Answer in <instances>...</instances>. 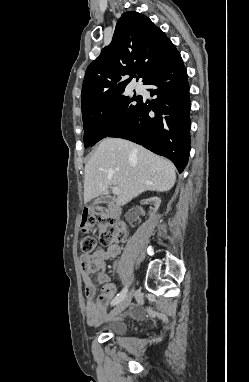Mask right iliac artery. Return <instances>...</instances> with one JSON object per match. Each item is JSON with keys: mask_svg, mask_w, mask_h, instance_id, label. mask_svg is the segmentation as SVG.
Masks as SVG:
<instances>
[{"mask_svg": "<svg viewBox=\"0 0 249 382\" xmlns=\"http://www.w3.org/2000/svg\"><path fill=\"white\" fill-rule=\"evenodd\" d=\"M126 293H127V287L123 288V290L119 294H117V296L113 299L111 304L112 305L118 304L126 296Z\"/></svg>", "mask_w": 249, "mask_h": 382, "instance_id": "obj_1", "label": "right iliac artery"}]
</instances>
